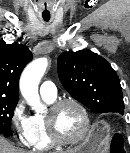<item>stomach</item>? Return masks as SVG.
I'll return each instance as SVG.
<instances>
[{"label": "stomach", "mask_w": 130, "mask_h": 153, "mask_svg": "<svg viewBox=\"0 0 130 153\" xmlns=\"http://www.w3.org/2000/svg\"><path fill=\"white\" fill-rule=\"evenodd\" d=\"M110 139V131L107 126L97 125L89 133L85 141L72 150L71 153H103Z\"/></svg>", "instance_id": "1"}]
</instances>
